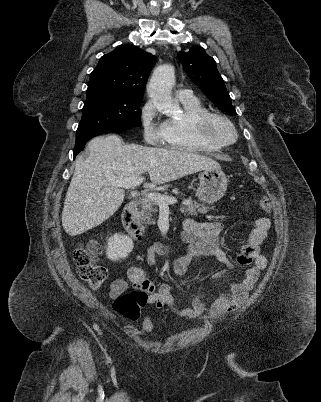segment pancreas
<instances>
[{
    "label": "pancreas",
    "instance_id": "1",
    "mask_svg": "<svg viewBox=\"0 0 321 402\" xmlns=\"http://www.w3.org/2000/svg\"><path fill=\"white\" fill-rule=\"evenodd\" d=\"M163 196L169 197L168 193H164ZM140 207L141 221L145 224L154 225L156 220L155 218H153V214L158 211L157 204L149 198H144L140 202ZM210 209H212V207L201 205L191 198L185 200L180 206V211L185 215L187 214L188 216H196L198 213L205 214Z\"/></svg>",
    "mask_w": 321,
    "mask_h": 402
}]
</instances>
